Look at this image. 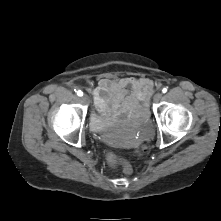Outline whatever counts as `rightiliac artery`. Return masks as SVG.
Masks as SVG:
<instances>
[{
	"label": "right iliac artery",
	"mask_w": 221,
	"mask_h": 221,
	"mask_svg": "<svg viewBox=\"0 0 221 221\" xmlns=\"http://www.w3.org/2000/svg\"><path fill=\"white\" fill-rule=\"evenodd\" d=\"M77 95H78V96H82V95H83V92H82L81 90H78V91H77Z\"/></svg>",
	"instance_id": "right-iliac-artery-1"
}]
</instances>
